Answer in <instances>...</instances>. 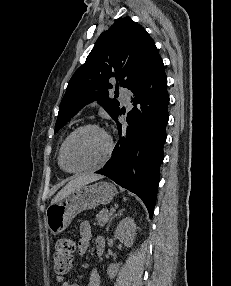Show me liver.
<instances>
[{
  "label": "liver",
  "mask_w": 231,
  "mask_h": 286,
  "mask_svg": "<svg viewBox=\"0 0 231 286\" xmlns=\"http://www.w3.org/2000/svg\"><path fill=\"white\" fill-rule=\"evenodd\" d=\"M101 175L86 174L77 176L75 179L70 181L64 188H62L57 195L51 200V204L63 199L65 196L73 192L74 190L90 183L101 179Z\"/></svg>",
  "instance_id": "6515ba94"
}]
</instances>
